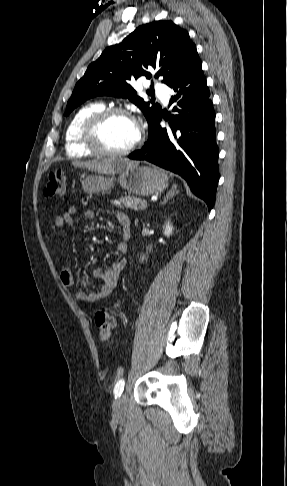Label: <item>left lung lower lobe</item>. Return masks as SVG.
<instances>
[{
    "label": "left lung lower lobe",
    "instance_id": "0a47b994",
    "mask_svg": "<svg viewBox=\"0 0 287 486\" xmlns=\"http://www.w3.org/2000/svg\"><path fill=\"white\" fill-rule=\"evenodd\" d=\"M177 94L170 116L171 130L160 126L163 113L149 127L148 141L128 157L146 160L181 175L192 192L203 199L210 210L215 202L219 180L215 112L202 71L201 60L194 62L168 85Z\"/></svg>",
    "mask_w": 287,
    "mask_h": 486
}]
</instances>
